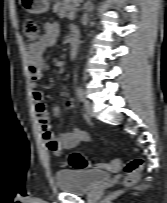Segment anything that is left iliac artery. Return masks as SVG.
<instances>
[{"label": "left iliac artery", "mask_w": 167, "mask_h": 203, "mask_svg": "<svg viewBox=\"0 0 167 203\" xmlns=\"http://www.w3.org/2000/svg\"><path fill=\"white\" fill-rule=\"evenodd\" d=\"M77 94H78V98H79L80 101H84L85 100L84 92H83V89L81 87L78 88Z\"/></svg>", "instance_id": "1"}]
</instances>
